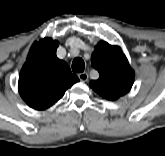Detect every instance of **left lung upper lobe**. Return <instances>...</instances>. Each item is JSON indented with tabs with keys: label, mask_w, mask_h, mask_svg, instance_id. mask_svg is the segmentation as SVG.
<instances>
[{
	"label": "left lung upper lobe",
	"mask_w": 165,
	"mask_h": 156,
	"mask_svg": "<svg viewBox=\"0 0 165 156\" xmlns=\"http://www.w3.org/2000/svg\"><path fill=\"white\" fill-rule=\"evenodd\" d=\"M99 79L90 82L91 88L105 99L114 101L128 93L133 85L134 71L118 46L99 42L91 57Z\"/></svg>",
	"instance_id": "left-lung-upper-lobe-1"
}]
</instances>
